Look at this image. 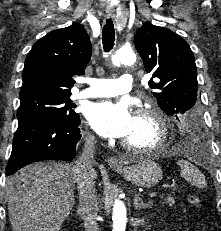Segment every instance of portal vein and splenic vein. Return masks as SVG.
<instances>
[{"label": "portal vein and splenic vein", "mask_w": 221, "mask_h": 231, "mask_svg": "<svg viewBox=\"0 0 221 231\" xmlns=\"http://www.w3.org/2000/svg\"><path fill=\"white\" fill-rule=\"evenodd\" d=\"M157 195H158L157 192H153V193H150V194H149V196H150L151 198H154V197H156Z\"/></svg>", "instance_id": "1"}]
</instances>
